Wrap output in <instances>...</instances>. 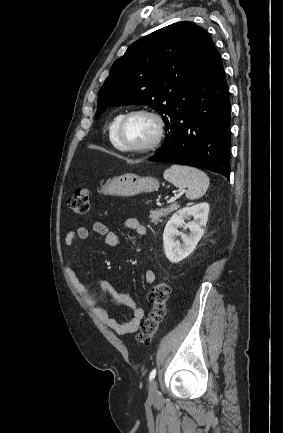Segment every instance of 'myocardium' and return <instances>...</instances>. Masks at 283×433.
I'll list each match as a JSON object with an SVG mask.
<instances>
[{
    "instance_id": "1",
    "label": "myocardium",
    "mask_w": 283,
    "mask_h": 433,
    "mask_svg": "<svg viewBox=\"0 0 283 433\" xmlns=\"http://www.w3.org/2000/svg\"><path fill=\"white\" fill-rule=\"evenodd\" d=\"M137 114L148 115L157 123V134L148 144L143 146H129L122 139V130L128 119ZM167 124L162 114L154 109L140 107L131 109L123 114L115 129V139L120 150L137 154H150L158 150L166 135Z\"/></svg>"
}]
</instances>
